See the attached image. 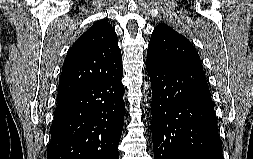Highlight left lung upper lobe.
Returning a JSON list of instances; mask_svg holds the SVG:
<instances>
[{"instance_id": "obj_1", "label": "left lung upper lobe", "mask_w": 253, "mask_h": 159, "mask_svg": "<svg viewBox=\"0 0 253 159\" xmlns=\"http://www.w3.org/2000/svg\"><path fill=\"white\" fill-rule=\"evenodd\" d=\"M147 61L174 67L202 69L200 57L187 38L165 23L153 31L148 45Z\"/></svg>"}]
</instances>
